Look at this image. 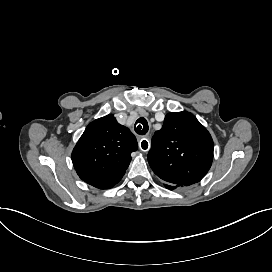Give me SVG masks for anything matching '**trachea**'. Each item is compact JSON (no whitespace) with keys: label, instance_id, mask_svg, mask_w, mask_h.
<instances>
[{"label":"trachea","instance_id":"trachea-1","mask_svg":"<svg viewBox=\"0 0 272 272\" xmlns=\"http://www.w3.org/2000/svg\"><path fill=\"white\" fill-rule=\"evenodd\" d=\"M138 126L135 127V132L139 135H146L148 132V123L145 118H139L136 122Z\"/></svg>","mask_w":272,"mask_h":272}]
</instances>
